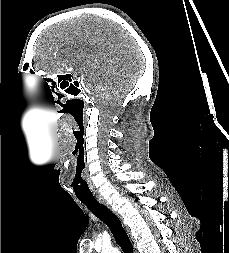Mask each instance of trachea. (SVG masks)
Masks as SVG:
<instances>
[{"mask_svg": "<svg viewBox=\"0 0 229 253\" xmlns=\"http://www.w3.org/2000/svg\"><path fill=\"white\" fill-rule=\"evenodd\" d=\"M87 208L105 223L112 232L123 253H133L131 241L123 228L119 218L105 205L97 201L94 196L79 198Z\"/></svg>", "mask_w": 229, "mask_h": 253, "instance_id": "trachea-1", "label": "trachea"}]
</instances>
